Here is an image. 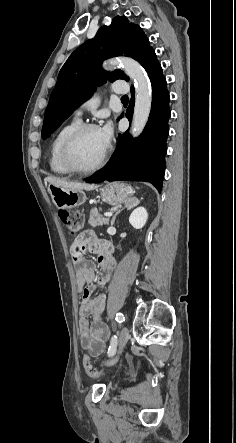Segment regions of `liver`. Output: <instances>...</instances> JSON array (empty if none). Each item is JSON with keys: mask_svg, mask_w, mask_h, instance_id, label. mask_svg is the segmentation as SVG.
<instances>
[{"mask_svg": "<svg viewBox=\"0 0 236 443\" xmlns=\"http://www.w3.org/2000/svg\"><path fill=\"white\" fill-rule=\"evenodd\" d=\"M45 182H49L55 186L68 188L72 190H93L96 188L94 184H85V183H77V182H68L66 180L55 178V177H47L45 178Z\"/></svg>", "mask_w": 236, "mask_h": 443, "instance_id": "liver-1", "label": "liver"}]
</instances>
